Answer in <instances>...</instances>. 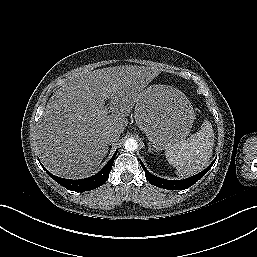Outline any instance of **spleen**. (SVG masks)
I'll return each mask as SVG.
<instances>
[{"mask_svg": "<svg viewBox=\"0 0 257 257\" xmlns=\"http://www.w3.org/2000/svg\"><path fill=\"white\" fill-rule=\"evenodd\" d=\"M214 141L212 124L205 120L198 132L167 148L166 159L179 177L194 175L208 166Z\"/></svg>", "mask_w": 257, "mask_h": 257, "instance_id": "obj_1", "label": "spleen"}]
</instances>
